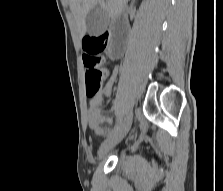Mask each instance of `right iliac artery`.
<instances>
[{
  "mask_svg": "<svg viewBox=\"0 0 223 191\" xmlns=\"http://www.w3.org/2000/svg\"><path fill=\"white\" fill-rule=\"evenodd\" d=\"M121 124H122V120L120 119V121H119L118 124L114 127V129L112 130V132L110 133V135L113 134L115 131H117V130L119 129V127H120Z\"/></svg>",
  "mask_w": 223,
  "mask_h": 191,
  "instance_id": "right-iliac-artery-1",
  "label": "right iliac artery"
}]
</instances>
